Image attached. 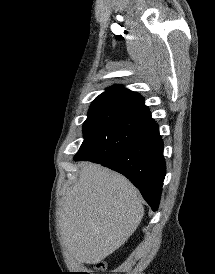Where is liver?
<instances>
[{"instance_id":"obj_1","label":"liver","mask_w":215,"mask_h":274,"mask_svg":"<svg viewBox=\"0 0 215 274\" xmlns=\"http://www.w3.org/2000/svg\"><path fill=\"white\" fill-rule=\"evenodd\" d=\"M143 215L142 197L124 176L82 163L78 180L63 192V244L77 262L97 264L128 240Z\"/></svg>"}]
</instances>
